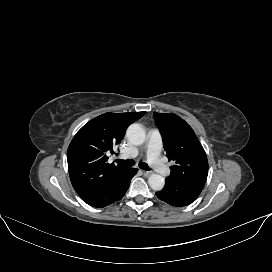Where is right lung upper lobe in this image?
<instances>
[{
	"label": "right lung upper lobe",
	"mask_w": 272,
	"mask_h": 272,
	"mask_svg": "<svg viewBox=\"0 0 272 272\" xmlns=\"http://www.w3.org/2000/svg\"><path fill=\"white\" fill-rule=\"evenodd\" d=\"M145 112L105 113L86 123L72 139L67 161L71 183L80 197L104 185L125 168L109 164L107 152L124 137L125 129Z\"/></svg>",
	"instance_id": "right-lung-upper-lobe-1"
}]
</instances>
